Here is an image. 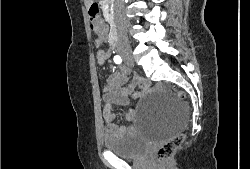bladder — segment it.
<instances>
[{
    "label": "bladder",
    "instance_id": "31cf9c89",
    "mask_svg": "<svg viewBox=\"0 0 250 169\" xmlns=\"http://www.w3.org/2000/svg\"><path fill=\"white\" fill-rule=\"evenodd\" d=\"M103 146L106 151L114 152L118 157L138 158L143 152L149 150L142 133H108L102 137Z\"/></svg>",
    "mask_w": 250,
    "mask_h": 169
}]
</instances>
